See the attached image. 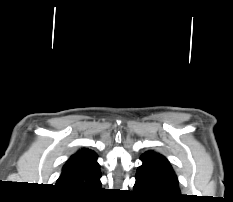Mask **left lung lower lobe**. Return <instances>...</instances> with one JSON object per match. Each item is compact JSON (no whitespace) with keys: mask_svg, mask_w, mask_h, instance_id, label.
I'll use <instances>...</instances> for the list:
<instances>
[{"mask_svg":"<svg viewBox=\"0 0 233 202\" xmlns=\"http://www.w3.org/2000/svg\"><path fill=\"white\" fill-rule=\"evenodd\" d=\"M134 192L153 202H178L182 198L180 189L157 183L144 173L136 174Z\"/></svg>","mask_w":233,"mask_h":202,"instance_id":"0a47b994","label":"left lung lower lobe"}]
</instances>
